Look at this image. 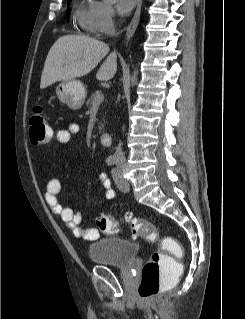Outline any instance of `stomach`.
<instances>
[{
    "label": "stomach",
    "instance_id": "1",
    "mask_svg": "<svg viewBox=\"0 0 245 319\" xmlns=\"http://www.w3.org/2000/svg\"><path fill=\"white\" fill-rule=\"evenodd\" d=\"M56 97L70 109H80L85 101L86 89L79 80L61 82L55 89Z\"/></svg>",
    "mask_w": 245,
    "mask_h": 319
}]
</instances>
